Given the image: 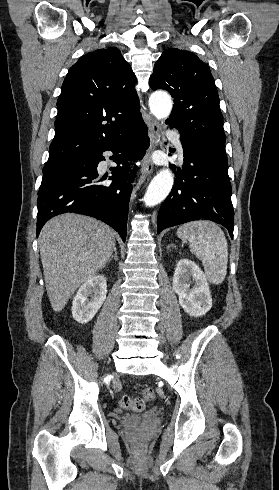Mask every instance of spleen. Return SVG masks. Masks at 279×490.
Segmentation results:
<instances>
[{"label":"spleen","instance_id":"1","mask_svg":"<svg viewBox=\"0 0 279 490\" xmlns=\"http://www.w3.org/2000/svg\"><path fill=\"white\" fill-rule=\"evenodd\" d=\"M177 236L189 242L190 252L201 260L208 282L222 284L227 272L228 246L221 228L208 220H199L180 226Z\"/></svg>","mask_w":279,"mask_h":490}]
</instances>
